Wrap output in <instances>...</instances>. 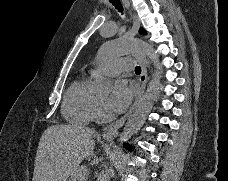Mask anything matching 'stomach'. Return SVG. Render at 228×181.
<instances>
[{
    "label": "stomach",
    "mask_w": 228,
    "mask_h": 181,
    "mask_svg": "<svg viewBox=\"0 0 228 181\" xmlns=\"http://www.w3.org/2000/svg\"><path fill=\"white\" fill-rule=\"evenodd\" d=\"M104 139H106V141H111V139H113V137H109V135H104Z\"/></svg>",
    "instance_id": "obj_1"
}]
</instances>
